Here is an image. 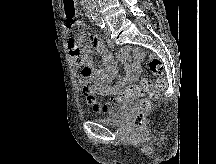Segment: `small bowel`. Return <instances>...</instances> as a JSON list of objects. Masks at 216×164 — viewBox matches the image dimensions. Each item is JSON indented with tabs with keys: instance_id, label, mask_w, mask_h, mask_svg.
I'll use <instances>...</instances> for the list:
<instances>
[{
	"instance_id": "obj_1",
	"label": "small bowel",
	"mask_w": 216,
	"mask_h": 164,
	"mask_svg": "<svg viewBox=\"0 0 216 164\" xmlns=\"http://www.w3.org/2000/svg\"><path fill=\"white\" fill-rule=\"evenodd\" d=\"M76 25L81 27L83 22L77 21ZM92 49L100 58V64L97 66L93 65ZM68 50L75 66L81 68L79 81L86 103L97 113L114 116L119 108L120 103L116 97L121 88L140 75L141 52L133 47H126L120 51V60L126 62V73L113 83L117 76L116 61L97 36L91 35L87 43L85 36L77 33L68 43ZM97 96H109L110 100L101 102Z\"/></svg>"
}]
</instances>
